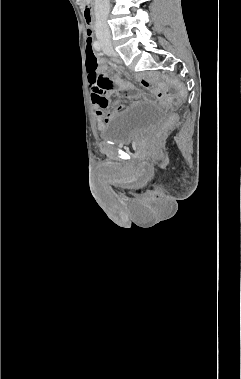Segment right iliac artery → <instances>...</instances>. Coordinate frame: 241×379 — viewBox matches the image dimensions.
I'll use <instances>...</instances> for the list:
<instances>
[{"label": "right iliac artery", "mask_w": 241, "mask_h": 379, "mask_svg": "<svg viewBox=\"0 0 241 379\" xmlns=\"http://www.w3.org/2000/svg\"><path fill=\"white\" fill-rule=\"evenodd\" d=\"M94 48H95L97 51H100V50H101V44L99 43V41H95V42H94Z\"/></svg>", "instance_id": "82829eb1"}]
</instances>
